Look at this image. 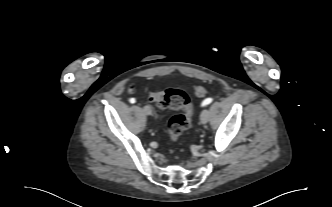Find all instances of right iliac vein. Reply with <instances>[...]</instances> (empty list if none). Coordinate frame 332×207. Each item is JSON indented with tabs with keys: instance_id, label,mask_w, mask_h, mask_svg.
Masks as SVG:
<instances>
[{
	"instance_id": "obj_1",
	"label": "right iliac vein",
	"mask_w": 332,
	"mask_h": 207,
	"mask_svg": "<svg viewBox=\"0 0 332 207\" xmlns=\"http://www.w3.org/2000/svg\"><path fill=\"white\" fill-rule=\"evenodd\" d=\"M143 112L146 114V115H151L152 113V109L150 106L146 105L143 107Z\"/></svg>"
}]
</instances>
